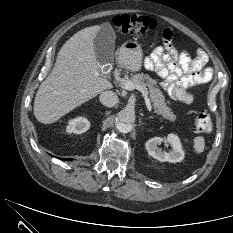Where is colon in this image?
Returning a JSON list of instances; mask_svg holds the SVG:
<instances>
[{"label": "colon", "instance_id": "obj_1", "mask_svg": "<svg viewBox=\"0 0 233 233\" xmlns=\"http://www.w3.org/2000/svg\"><path fill=\"white\" fill-rule=\"evenodd\" d=\"M115 28L123 34L144 35L153 30L156 23L149 16L144 15H118L112 19ZM198 133H209L212 130L211 116L207 111L199 113L194 123Z\"/></svg>", "mask_w": 233, "mask_h": 233}]
</instances>
